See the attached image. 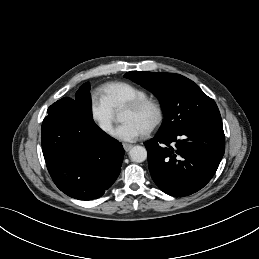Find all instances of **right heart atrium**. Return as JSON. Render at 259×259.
I'll return each instance as SVG.
<instances>
[{
    "label": "right heart atrium",
    "mask_w": 259,
    "mask_h": 259,
    "mask_svg": "<svg viewBox=\"0 0 259 259\" xmlns=\"http://www.w3.org/2000/svg\"><path fill=\"white\" fill-rule=\"evenodd\" d=\"M90 114L93 121L103 133H110L115 119V113L103 96L98 94L91 95Z\"/></svg>",
    "instance_id": "right-heart-atrium-1"
}]
</instances>
